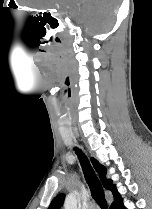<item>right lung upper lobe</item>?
I'll use <instances>...</instances> for the list:
<instances>
[{
    "instance_id": "cb5924a9",
    "label": "right lung upper lobe",
    "mask_w": 152,
    "mask_h": 209,
    "mask_svg": "<svg viewBox=\"0 0 152 209\" xmlns=\"http://www.w3.org/2000/svg\"><path fill=\"white\" fill-rule=\"evenodd\" d=\"M91 162L96 170V172L98 173L99 175V178L103 184V186L106 188V189H109L112 191V193H114L116 191V186L115 185H112V181L111 180H108L106 178V168L101 165L96 159L92 158L91 159ZM64 197L65 195L62 193V194H59L58 196H56L53 201L51 202V204L49 205L48 209H60V207L62 206L63 204V201H64Z\"/></svg>"
}]
</instances>
